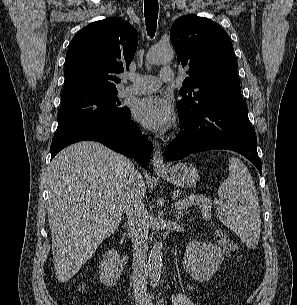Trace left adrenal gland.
<instances>
[{"instance_id":"a2214340","label":"left adrenal gland","mask_w":297,"mask_h":305,"mask_svg":"<svg viewBox=\"0 0 297 305\" xmlns=\"http://www.w3.org/2000/svg\"><path fill=\"white\" fill-rule=\"evenodd\" d=\"M187 212H178L175 214L176 220L179 221Z\"/></svg>"}]
</instances>
